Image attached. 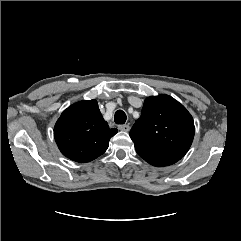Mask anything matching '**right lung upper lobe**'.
Masks as SVG:
<instances>
[{
    "label": "right lung upper lobe",
    "mask_w": 241,
    "mask_h": 241,
    "mask_svg": "<svg viewBox=\"0 0 241 241\" xmlns=\"http://www.w3.org/2000/svg\"><path fill=\"white\" fill-rule=\"evenodd\" d=\"M117 132L103 119L97 101L85 100L61 114L54 127V138L64 156L84 163L102 155Z\"/></svg>",
    "instance_id": "1"
}]
</instances>
